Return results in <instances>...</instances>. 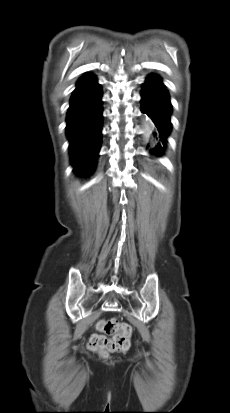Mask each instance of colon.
Listing matches in <instances>:
<instances>
[{"label": "colon", "mask_w": 230, "mask_h": 413, "mask_svg": "<svg viewBox=\"0 0 230 413\" xmlns=\"http://www.w3.org/2000/svg\"><path fill=\"white\" fill-rule=\"evenodd\" d=\"M96 329L99 334L92 335L88 340L91 351L106 356L108 353L125 351L130 348L132 329L130 325L119 322L116 318L100 320ZM107 335H112L108 338Z\"/></svg>", "instance_id": "obj_1"}]
</instances>
